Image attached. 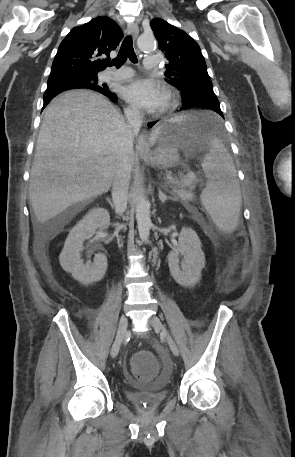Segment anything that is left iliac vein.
Wrapping results in <instances>:
<instances>
[{"instance_id": "left-iliac-vein-1", "label": "left iliac vein", "mask_w": 295, "mask_h": 457, "mask_svg": "<svg viewBox=\"0 0 295 457\" xmlns=\"http://www.w3.org/2000/svg\"><path fill=\"white\" fill-rule=\"evenodd\" d=\"M150 324L152 325V327L156 331L161 332L163 334V336L165 337V339H166V341H167V343L169 345V348L172 351V353L175 356H178L179 355V349H178L176 343L174 342V340L167 333V331H166L164 325L162 324L161 320L157 316H152L150 318Z\"/></svg>"}]
</instances>
